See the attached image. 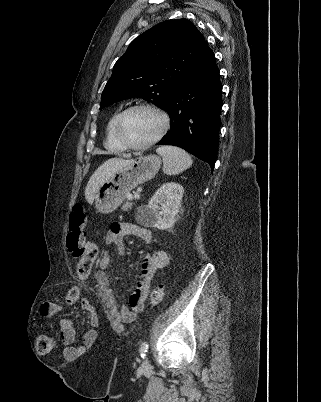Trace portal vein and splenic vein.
I'll return each instance as SVG.
<instances>
[{
    "instance_id": "portal-vein-and-splenic-vein-1",
    "label": "portal vein and splenic vein",
    "mask_w": 321,
    "mask_h": 402,
    "mask_svg": "<svg viewBox=\"0 0 321 402\" xmlns=\"http://www.w3.org/2000/svg\"><path fill=\"white\" fill-rule=\"evenodd\" d=\"M134 198H135V199H139V198H140V194H139L138 192H136V193L134 194Z\"/></svg>"
}]
</instances>
